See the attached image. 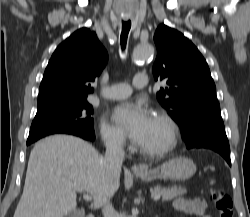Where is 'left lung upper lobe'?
I'll use <instances>...</instances> for the list:
<instances>
[{"mask_svg": "<svg viewBox=\"0 0 250 217\" xmlns=\"http://www.w3.org/2000/svg\"><path fill=\"white\" fill-rule=\"evenodd\" d=\"M154 42L157 58L153 65L155 80L166 82L157 99L171 118L178 123L182 134L198 121L220 115L216 87L208 64L182 33L161 24Z\"/></svg>", "mask_w": 250, "mask_h": 217, "instance_id": "left-lung-upper-lobe-1", "label": "left lung upper lobe"}]
</instances>
